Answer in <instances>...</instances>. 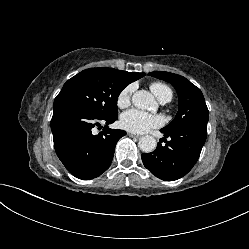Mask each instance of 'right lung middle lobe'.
Instances as JSON below:
<instances>
[{"mask_svg":"<svg viewBox=\"0 0 249 249\" xmlns=\"http://www.w3.org/2000/svg\"><path fill=\"white\" fill-rule=\"evenodd\" d=\"M127 85L115 69L90 68L69 79L55 100L70 101L99 117H113L118 115V96Z\"/></svg>","mask_w":249,"mask_h":249,"instance_id":"1","label":"right lung middle lobe"}]
</instances>
